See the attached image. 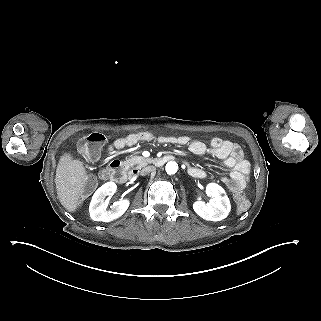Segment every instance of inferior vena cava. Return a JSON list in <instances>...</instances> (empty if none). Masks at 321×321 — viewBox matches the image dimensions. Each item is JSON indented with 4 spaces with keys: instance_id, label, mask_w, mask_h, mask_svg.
I'll return each instance as SVG.
<instances>
[{
    "instance_id": "1",
    "label": "inferior vena cava",
    "mask_w": 321,
    "mask_h": 321,
    "mask_svg": "<svg viewBox=\"0 0 321 321\" xmlns=\"http://www.w3.org/2000/svg\"><path fill=\"white\" fill-rule=\"evenodd\" d=\"M155 171V167L154 166H147V167H144L141 172H140V175L141 176H146L148 175L149 173Z\"/></svg>"
}]
</instances>
